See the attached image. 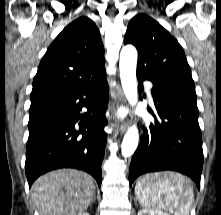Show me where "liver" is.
<instances>
[{
    "label": "liver",
    "instance_id": "6515ba94",
    "mask_svg": "<svg viewBox=\"0 0 221 215\" xmlns=\"http://www.w3.org/2000/svg\"><path fill=\"white\" fill-rule=\"evenodd\" d=\"M31 194L40 215H77L95 196L94 179L75 169H59L39 177Z\"/></svg>",
    "mask_w": 221,
    "mask_h": 215
}]
</instances>
